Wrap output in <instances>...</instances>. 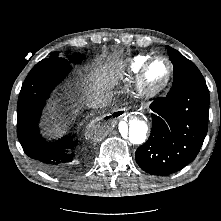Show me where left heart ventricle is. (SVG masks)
<instances>
[{
    "label": "left heart ventricle",
    "instance_id": "b2bd125f",
    "mask_svg": "<svg viewBox=\"0 0 221 221\" xmlns=\"http://www.w3.org/2000/svg\"><path fill=\"white\" fill-rule=\"evenodd\" d=\"M169 72L168 64L163 59H157L150 66L147 73V82L150 86H159L167 78Z\"/></svg>",
    "mask_w": 221,
    "mask_h": 221
}]
</instances>
